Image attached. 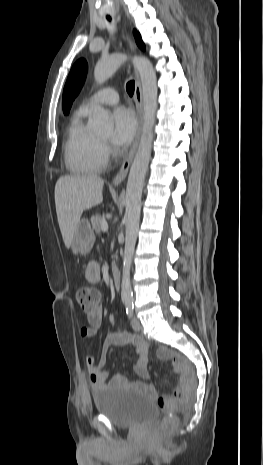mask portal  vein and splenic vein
<instances>
[{
  "mask_svg": "<svg viewBox=\"0 0 263 465\" xmlns=\"http://www.w3.org/2000/svg\"><path fill=\"white\" fill-rule=\"evenodd\" d=\"M101 229H102V231H104V232L108 230V223H107L106 221H103V222L101 223Z\"/></svg>",
  "mask_w": 263,
  "mask_h": 465,
  "instance_id": "portal-vein-and-splenic-vein-1",
  "label": "portal vein and splenic vein"
}]
</instances>
